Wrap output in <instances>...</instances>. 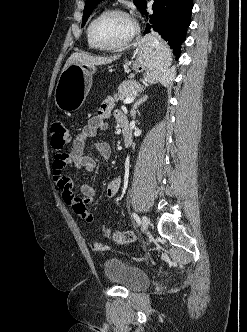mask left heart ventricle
Instances as JSON below:
<instances>
[{"label": "left heart ventricle", "mask_w": 247, "mask_h": 332, "mask_svg": "<svg viewBox=\"0 0 247 332\" xmlns=\"http://www.w3.org/2000/svg\"><path fill=\"white\" fill-rule=\"evenodd\" d=\"M131 21L119 14L109 15L101 19L94 28L97 40L105 45H114L123 41L131 32Z\"/></svg>", "instance_id": "b2bd125f"}]
</instances>
